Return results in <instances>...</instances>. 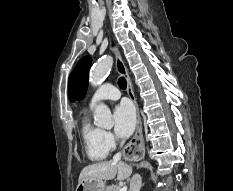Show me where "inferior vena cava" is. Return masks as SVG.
I'll return each instance as SVG.
<instances>
[{"instance_id":"1","label":"inferior vena cava","mask_w":233,"mask_h":191,"mask_svg":"<svg viewBox=\"0 0 233 191\" xmlns=\"http://www.w3.org/2000/svg\"><path fill=\"white\" fill-rule=\"evenodd\" d=\"M124 144V141L121 142V146ZM121 160V153L118 152L117 154L114 155L113 161L118 162ZM142 184V179L139 174H134L133 177L131 178V183H130V191H140Z\"/></svg>"}]
</instances>
